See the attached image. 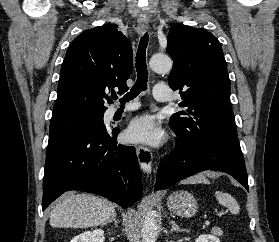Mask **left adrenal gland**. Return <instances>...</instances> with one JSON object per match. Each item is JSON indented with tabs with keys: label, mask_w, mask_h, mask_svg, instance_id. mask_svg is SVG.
I'll use <instances>...</instances> for the list:
<instances>
[{
	"label": "left adrenal gland",
	"mask_w": 279,
	"mask_h": 242,
	"mask_svg": "<svg viewBox=\"0 0 279 242\" xmlns=\"http://www.w3.org/2000/svg\"><path fill=\"white\" fill-rule=\"evenodd\" d=\"M170 224H171L170 232H173V231H186V232H188L187 229H181L178 225H176L175 221H173V220L170 221Z\"/></svg>",
	"instance_id": "obj_1"
}]
</instances>
